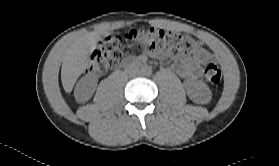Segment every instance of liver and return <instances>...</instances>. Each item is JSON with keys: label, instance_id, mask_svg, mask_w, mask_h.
Returning <instances> with one entry per match:
<instances>
[{"label": "liver", "instance_id": "6515ba94", "mask_svg": "<svg viewBox=\"0 0 279 166\" xmlns=\"http://www.w3.org/2000/svg\"><path fill=\"white\" fill-rule=\"evenodd\" d=\"M102 32L92 31L76 38L66 50L61 68V81L64 90L70 93L79 78L87 69L90 55L96 48Z\"/></svg>", "mask_w": 279, "mask_h": 166}]
</instances>
